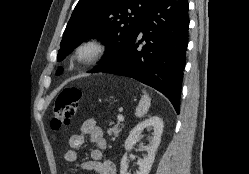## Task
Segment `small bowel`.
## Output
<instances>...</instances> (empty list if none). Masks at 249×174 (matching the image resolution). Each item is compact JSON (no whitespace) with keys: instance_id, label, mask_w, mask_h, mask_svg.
Wrapping results in <instances>:
<instances>
[{"instance_id":"c3829d8e","label":"small bowel","mask_w":249,"mask_h":174,"mask_svg":"<svg viewBox=\"0 0 249 174\" xmlns=\"http://www.w3.org/2000/svg\"><path fill=\"white\" fill-rule=\"evenodd\" d=\"M87 138L96 148L89 152L91 160L81 162L80 168L85 171H95L97 174H116L114 163L103 159V151L107 149L108 143L94 119L85 120L80 131L69 137L70 149L65 152V160L69 163L77 161L79 150L84 146Z\"/></svg>"}]
</instances>
